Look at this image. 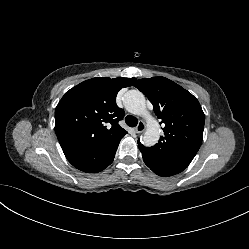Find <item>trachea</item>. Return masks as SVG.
I'll list each match as a JSON object with an SVG mask.
<instances>
[{
    "mask_svg": "<svg viewBox=\"0 0 249 249\" xmlns=\"http://www.w3.org/2000/svg\"><path fill=\"white\" fill-rule=\"evenodd\" d=\"M125 122L130 127H135L138 124V119L132 115H127Z\"/></svg>",
    "mask_w": 249,
    "mask_h": 249,
    "instance_id": "obj_1",
    "label": "trachea"
}]
</instances>
